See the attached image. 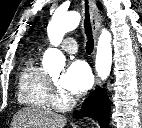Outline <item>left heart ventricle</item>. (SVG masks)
Segmentation results:
<instances>
[{
  "label": "left heart ventricle",
  "instance_id": "b2bd125f",
  "mask_svg": "<svg viewBox=\"0 0 142 128\" xmlns=\"http://www.w3.org/2000/svg\"><path fill=\"white\" fill-rule=\"evenodd\" d=\"M58 77H59V75H54V76H53V79H54L55 81H57V80H58Z\"/></svg>",
  "mask_w": 142,
  "mask_h": 128
}]
</instances>
